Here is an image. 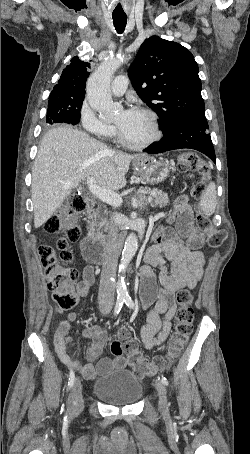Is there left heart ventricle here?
<instances>
[{
	"mask_svg": "<svg viewBox=\"0 0 250 454\" xmlns=\"http://www.w3.org/2000/svg\"><path fill=\"white\" fill-rule=\"evenodd\" d=\"M123 136L132 143H142L153 134L150 118L138 111H121L115 120Z\"/></svg>",
	"mask_w": 250,
	"mask_h": 454,
	"instance_id": "obj_1",
	"label": "left heart ventricle"
}]
</instances>
